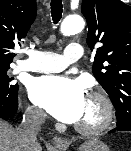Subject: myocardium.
I'll use <instances>...</instances> for the list:
<instances>
[{"mask_svg":"<svg viewBox=\"0 0 131 151\" xmlns=\"http://www.w3.org/2000/svg\"><path fill=\"white\" fill-rule=\"evenodd\" d=\"M88 99L96 101L101 108L100 119L93 124L76 123L75 129L85 135L98 134L110 127L114 119V106L110 98L101 91H92Z\"/></svg>","mask_w":131,"mask_h":151,"instance_id":"myocardium-1","label":"myocardium"}]
</instances>
